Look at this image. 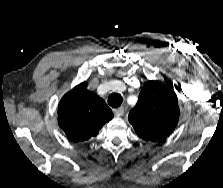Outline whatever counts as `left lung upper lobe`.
<instances>
[{
    "label": "left lung upper lobe",
    "instance_id": "5c2ea615",
    "mask_svg": "<svg viewBox=\"0 0 223 188\" xmlns=\"http://www.w3.org/2000/svg\"><path fill=\"white\" fill-rule=\"evenodd\" d=\"M179 114L174 90L158 81H148L144 84L128 119L140 138L158 142L173 132Z\"/></svg>",
    "mask_w": 223,
    "mask_h": 188
}]
</instances>
